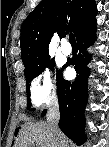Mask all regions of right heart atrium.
<instances>
[{"label":"right heart atrium","instance_id":"d8ad5b80","mask_svg":"<svg viewBox=\"0 0 109 147\" xmlns=\"http://www.w3.org/2000/svg\"><path fill=\"white\" fill-rule=\"evenodd\" d=\"M31 99L36 106L49 105L56 98L50 71L44 69L31 83Z\"/></svg>","mask_w":109,"mask_h":147}]
</instances>
